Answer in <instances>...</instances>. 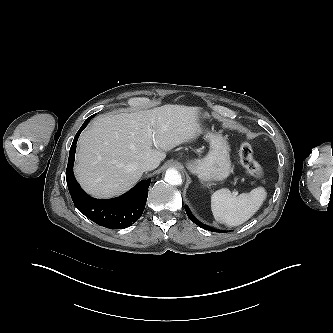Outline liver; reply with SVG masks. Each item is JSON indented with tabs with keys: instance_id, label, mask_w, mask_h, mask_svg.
<instances>
[{
	"instance_id": "1",
	"label": "liver",
	"mask_w": 333,
	"mask_h": 333,
	"mask_svg": "<svg viewBox=\"0 0 333 333\" xmlns=\"http://www.w3.org/2000/svg\"><path fill=\"white\" fill-rule=\"evenodd\" d=\"M200 115L195 108L164 105L98 116L78 140L77 180L95 197L125 193L142 177L143 161L155 159L160 163L166 152L201 133ZM150 130L153 137H149Z\"/></svg>"
}]
</instances>
